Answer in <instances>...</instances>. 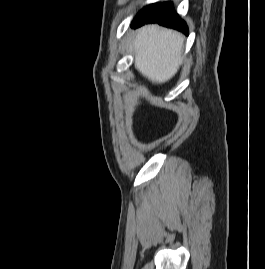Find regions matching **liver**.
<instances>
[{"label": "liver", "instance_id": "1", "mask_svg": "<svg viewBox=\"0 0 265 269\" xmlns=\"http://www.w3.org/2000/svg\"><path fill=\"white\" fill-rule=\"evenodd\" d=\"M184 37L172 29L145 25L134 40L135 67L152 83H165L183 61Z\"/></svg>", "mask_w": 265, "mask_h": 269}]
</instances>
